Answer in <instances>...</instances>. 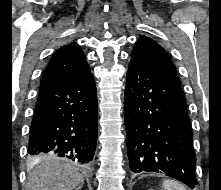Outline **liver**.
I'll use <instances>...</instances> for the list:
<instances>
[{"label": "liver", "mask_w": 221, "mask_h": 190, "mask_svg": "<svg viewBox=\"0 0 221 190\" xmlns=\"http://www.w3.org/2000/svg\"><path fill=\"white\" fill-rule=\"evenodd\" d=\"M26 190H73L84 183L83 175L70 164L53 160H34L30 168Z\"/></svg>", "instance_id": "6515ba94"}]
</instances>
